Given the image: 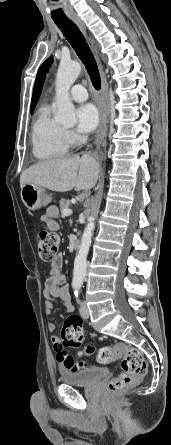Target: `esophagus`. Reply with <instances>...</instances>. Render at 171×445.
<instances>
[{
    "instance_id": "34e87169",
    "label": "esophagus",
    "mask_w": 171,
    "mask_h": 445,
    "mask_svg": "<svg viewBox=\"0 0 171 445\" xmlns=\"http://www.w3.org/2000/svg\"><path fill=\"white\" fill-rule=\"evenodd\" d=\"M72 20L78 26V28L84 34H86V26H85L84 22L82 21V19L76 16V17H72ZM97 60H98V64H99V69H100V74H101V83H102V89H101L102 112L100 115L99 129H98L97 136H96V143L99 146L103 142L106 132H107V114H108L109 98H108V85H107L106 75L104 73L103 66H102L100 60L99 59H97Z\"/></svg>"
}]
</instances>
